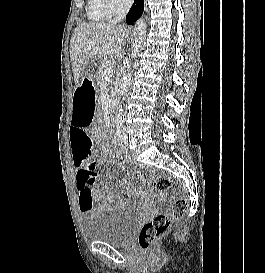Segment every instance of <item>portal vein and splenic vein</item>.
Returning <instances> with one entry per match:
<instances>
[{"label": "portal vein and splenic vein", "mask_w": 265, "mask_h": 273, "mask_svg": "<svg viewBox=\"0 0 265 273\" xmlns=\"http://www.w3.org/2000/svg\"><path fill=\"white\" fill-rule=\"evenodd\" d=\"M114 69H115L114 62H112L110 66L105 70L104 77L106 78L111 77L114 73Z\"/></svg>", "instance_id": "portal-vein-and-splenic-vein-1"}]
</instances>
